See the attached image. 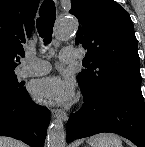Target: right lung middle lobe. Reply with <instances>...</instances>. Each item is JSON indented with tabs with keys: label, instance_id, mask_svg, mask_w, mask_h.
<instances>
[{
	"label": "right lung middle lobe",
	"instance_id": "1",
	"mask_svg": "<svg viewBox=\"0 0 145 147\" xmlns=\"http://www.w3.org/2000/svg\"><path fill=\"white\" fill-rule=\"evenodd\" d=\"M22 86L15 73L0 74V101L20 98L25 92V87Z\"/></svg>",
	"mask_w": 145,
	"mask_h": 147
}]
</instances>
